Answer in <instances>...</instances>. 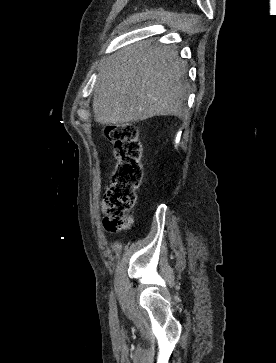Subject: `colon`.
<instances>
[{
    "label": "colon",
    "mask_w": 276,
    "mask_h": 363,
    "mask_svg": "<svg viewBox=\"0 0 276 363\" xmlns=\"http://www.w3.org/2000/svg\"><path fill=\"white\" fill-rule=\"evenodd\" d=\"M105 134L114 145L116 164L104 196V227L109 232L128 231L132 225L130 213L143 176L141 143L137 128L131 124L107 126Z\"/></svg>",
    "instance_id": "colon-1"
}]
</instances>
